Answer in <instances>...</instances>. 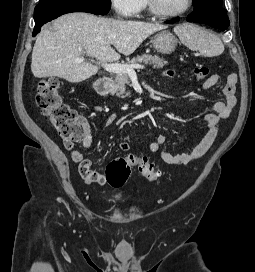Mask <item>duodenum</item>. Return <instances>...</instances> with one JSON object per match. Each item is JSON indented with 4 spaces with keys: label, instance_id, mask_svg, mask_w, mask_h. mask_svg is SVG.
I'll use <instances>...</instances> for the list:
<instances>
[{
    "label": "duodenum",
    "instance_id": "duodenum-1",
    "mask_svg": "<svg viewBox=\"0 0 255 272\" xmlns=\"http://www.w3.org/2000/svg\"><path fill=\"white\" fill-rule=\"evenodd\" d=\"M112 84V80L109 77H100L95 82V89L99 95L102 97H109L110 96V87Z\"/></svg>",
    "mask_w": 255,
    "mask_h": 272
}]
</instances>
